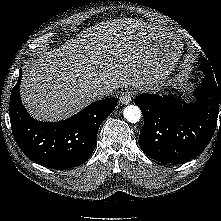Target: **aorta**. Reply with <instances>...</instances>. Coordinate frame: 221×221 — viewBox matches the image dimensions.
<instances>
[{
	"mask_svg": "<svg viewBox=\"0 0 221 221\" xmlns=\"http://www.w3.org/2000/svg\"><path fill=\"white\" fill-rule=\"evenodd\" d=\"M124 118L130 123H137L141 118V111L136 105H129L124 108Z\"/></svg>",
	"mask_w": 221,
	"mask_h": 221,
	"instance_id": "obj_1",
	"label": "aorta"
}]
</instances>
